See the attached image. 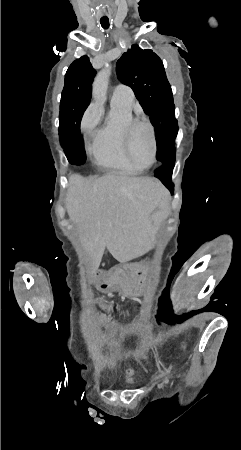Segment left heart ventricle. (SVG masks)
<instances>
[{
	"mask_svg": "<svg viewBox=\"0 0 241 450\" xmlns=\"http://www.w3.org/2000/svg\"><path fill=\"white\" fill-rule=\"evenodd\" d=\"M139 123L144 130H141L138 125L136 127H132L133 129H136L138 131L139 136H136L135 140L132 141V146L130 147V150L132 151L133 156L137 157L136 163L138 165H149L150 150L147 148V145L144 144V141L147 140L148 137H150V135H147V130L150 129L153 130V127L148 126L149 121L145 118H142L141 121H139Z\"/></svg>",
	"mask_w": 241,
	"mask_h": 450,
	"instance_id": "1",
	"label": "left heart ventricle"
}]
</instances>
